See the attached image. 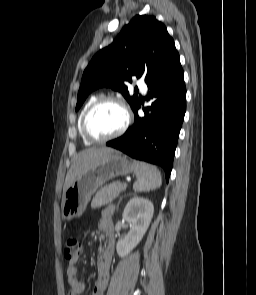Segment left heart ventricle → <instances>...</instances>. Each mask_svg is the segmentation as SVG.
<instances>
[{"label": "left heart ventricle", "mask_w": 256, "mask_h": 295, "mask_svg": "<svg viewBox=\"0 0 256 295\" xmlns=\"http://www.w3.org/2000/svg\"><path fill=\"white\" fill-rule=\"evenodd\" d=\"M124 113L114 103H103L96 107L88 119V129L96 137H106L121 128Z\"/></svg>", "instance_id": "obj_1"}]
</instances>
